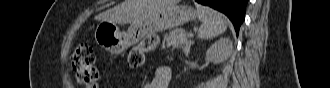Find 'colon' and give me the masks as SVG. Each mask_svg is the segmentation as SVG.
I'll return each instance as SVG.
<instances>
[{
  "label": "colon",
  "mask_w": 330,
  "mask_h": 88,
  "mask_svg": "<svg viewBox=\"0 0 330 88\" xmlns=\"http://www.w3.org/2000/svg\"><path fill=\"white\" fill-rule=\"evenodd\" d=\"M158 38L155 35L145 37L128 54V64L132 69L140 68L145 60V54L155 50ZM69 65L75 72L77 81L88 88L98 87L99 72L95 65V55L89 45H79L74 50Z\"/></svg>",
  "instance_id": "colon-1"
}]
</instances>
